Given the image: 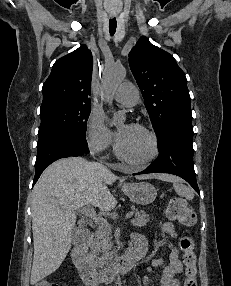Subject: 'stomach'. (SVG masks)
<instances>
[{
  "label": "stomach",
  "mask_w": 231,
  "mask_h": 286,
  "mask_svg": "<svg viewBox=\"0 0 231 286\" xmlns=\"http://www.w3.org/2000/svg\"><path fill=\"white\" fill-rule=\"evenodd\" d=\"M122 189L131 201L139 205H148L152 203L157 196L156 188L148 182L124 184Z\"/></svg>",
  "instance_id": "obj_1"
}]
</instances>
